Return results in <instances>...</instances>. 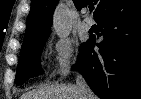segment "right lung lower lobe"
Segmentation results:
<instances>
[{"instance_id": "right-lung-lower-lobe-1", "label": "right lung lower lobe", "mask_w": 141, "mask_h": 99, "mask_svg": "<svg viewBox=\"0 0 141 99\" xmlns=\"http://www.w3.org/2000/svg\"><path fill=\"white\" fill-rule=\"evenodd\" d=\"M104 40L80 48L78 69L101 99H141V0H111L97 18Z\"/></svg>"}]
</instances>
